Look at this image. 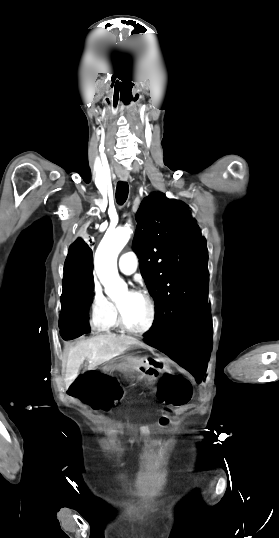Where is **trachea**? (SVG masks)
I'll return each mask as SVG.
<instances>
[{
  "label": "trachea",
  "instance_id": "obj_1",
  "mask_svg": "<svg viewBox=\"0 0 279 538\" xmlns=\"http://www.w3.org/2000/svg\"><path fill=\"white\" fill-rule=\"evenodd\" d=\"M129 193V185L126 181H119L116 187V201L119 205H123L127 200Z\"/></svg>",
  "mask_w": 279,
  "mask_h": 538
}]
</instances>
